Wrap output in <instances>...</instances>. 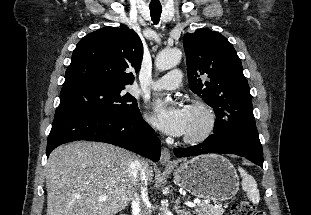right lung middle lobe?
I'll list each match as a JSON object with an SVG mask.
<instances>
[{"label":"right lung middle lobe","instance_id":"right-lung-middle-lobe-1","mask_svg":"<svg viewBox=\"0 0 311 215\" xmlns=\"http://www.w3.org/2000/svg\"><path fill=\"white\" fill-rule=\"evenodd\" d=\"M123 90L94 83L63 86L54 118L65 115L121 118L139 113L136 99Z\"/></svg>","mask_w":311,"mask_h":215}]
</instances>
